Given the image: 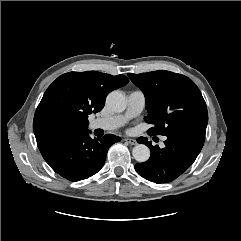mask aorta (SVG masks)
I'll return each mask as SVG.
<instances>
[{
  "label": "aorta",
  "mask_w": 241,
  "mask_h": 241,
  "mask_svg": "<svg viewBox=\"0 0 241 241\" xmlns=\"http://www.w3.org/2000/svg\"><path fill=\"white\" fill-rule=\"evenodd\" d=\"M126 104L125 96L118 91L111 92L106 98V105L113 112H123ZM132 155L136 161L145 162L150 157V149L144 144H137L132 150Z\"/></svg>",
  "instance_id": "1"
}]
</instances>
